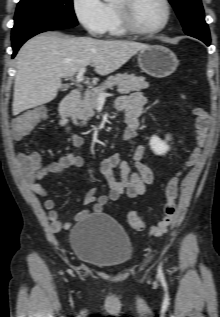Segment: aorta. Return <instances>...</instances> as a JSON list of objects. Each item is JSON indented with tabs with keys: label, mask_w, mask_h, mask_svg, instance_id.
I'll use <instances>...</instances> for the list:
<instances>
[{
	"label": "aorta",
	"mask_w": 220,
	"mask_h": 317,
	"mask_svg": "<svg viewBox=\"0 0 220 317\" xmlns=\"http://www.w3.org/2000/svg\"><path fill=\"white\" fill-rule=\"evenodd\" d=\"M106 2H111V1H113V0H105Z\"/></svg>",
	"instance_id": "1"
}]
</instances>
